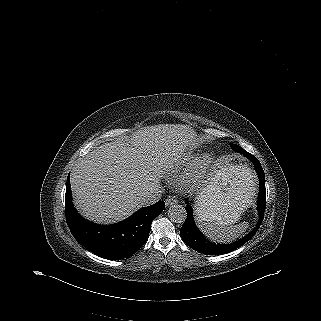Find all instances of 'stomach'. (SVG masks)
Masks as SVG:
<instances>
[{
	"label": "stomach",
	"instance_id": "1",
	"mask_svg": "<svg viewBox=\"0 0 321 321\" xmlns=\"http://www.w3.org/2000/svg\"><path fill=\"white\" fill-rule=\"evenodd\" d=\"M255 190V179L247 165L236 157L221 160L197 196L196 216L199 210L217 208L229 224L235 223L250 206Z\"/></svg>",
	"mask_w": 321,
	"mask_h": 321
}]
</instances>
